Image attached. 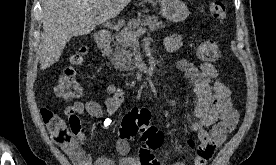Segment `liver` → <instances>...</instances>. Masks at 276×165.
<instances>
[{
    "instance_id": "1",
    "label": "liver",
    "mask_w": 276,
    "mask_h": 165,
    "mask_svg": "<svg viewBox=\"0 0 276 165\" xmlns=\"http://www.w3.org/2000/svg\"><path fill=\"white\" fill-rule=\"evenodd\" d=\"M131 0H43L40 69L57 62L73 36L86 35L115 18ZM98 14V16H96Z\"/></svg>"
}]
</instances>
